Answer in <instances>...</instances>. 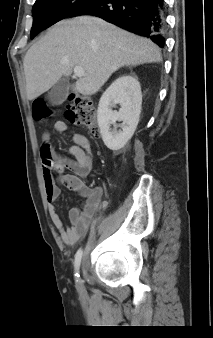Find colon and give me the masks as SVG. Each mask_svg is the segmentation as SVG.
<instances>
[{
    "label": "colon",
    "mask_w": 213,
    "mask_h": 338,
    "mask_svg": "<svg viewBox=\"0 0 213 338\" xmlns=\"http://www.w3.org/2000/svg\"><path fill=\"white\" fill-rule=\"evenodd\" d=\"M50 114L51 109L44 99L39 98L33 102L32 116L35 121H46ZM66 118L69 122L87 129L93 137L100 136L96 109L89 99L78 96L72 97L66 106Z\"/></svg>",
    "instance_id": "colon-1"
}]
</instances>
